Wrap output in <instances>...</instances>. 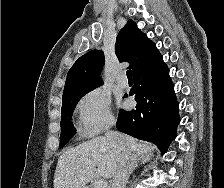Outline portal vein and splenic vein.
Wrapping results in <instances>:
<instances>
[{"label":"portal vein and splenic vein","instance_id":"portal-vein-and-splenic-vein-1","mask_svg":"<svg viewBox=\"0 0 224 188\" xmlns=\"http://www.w3.org/2000/svg\"><path fill=\"white\" fill-rule=\"evenodd\" d=\"M94 188H108V183L105 180H98L94 183Z\"/></svg>","mask_w":224,"mask_h":188}]
</instances>
